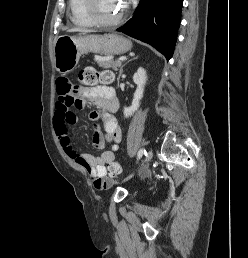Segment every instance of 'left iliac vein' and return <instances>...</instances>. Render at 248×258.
I'll return each instance as SVG.
<instances>
[{
    "mask_svg": "<svg viewBox=\"0 0 248 258\" xmlns=\"http://www.w3.org/2000/svg\"><path fill=\"white\" fill-rule=\"evenodd\" d=\"M152 157H153V152L150 150V151L147 153V155L145 156V159H144L142 165L147 164V163L152 159ZM132 176H133V174L127 176L126 178H124V179L121 181V183L128 181Z\"/></svg>",
    "mask_w": 248,
    "mask_h": 258,
    "instance_id": "obj_1",
    "label": "left iliac vein"
}]
</instances>
